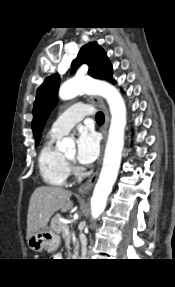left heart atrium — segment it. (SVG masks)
I'll return each instance as SVG.
<instances>
[{
	"label": "left heart atrium",
	"instance_id": "39dd6f15",
	"mask_svg": "<svg viewBox=\"0 0 175 287\" xmlns=\"http://www.w3.org/2000/svg\"><path fill=\"white\" fill-rule=\"evenodd\" d=\"M99 140L94 131L81 129L77 137V160L82 165H90L99 155Z\"/></svg>",
	"mask_w": 175,
	"mask_h": 287
}]
</instances>
